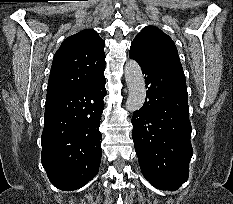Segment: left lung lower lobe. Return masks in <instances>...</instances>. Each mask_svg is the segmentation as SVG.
I'll use <instances>...</instances> for the list:
<instances>
[{
	"instance_id": "0a47b994",
	"label": "left lung lower lobe",
	"mask_w": 233,
	"mask_h": 204,
	"mask_svg": "<svg viewBox=\"0 0 233 204\" xmlns=\"http://www.w3.org/2000/svg\"><path fill=\"white\" fill-rule=\"evenodd\" d=\"M145 75L146 100L132 117V137L144 177L156 188L187 181L193 150L185 75L129 52Z\"/></svg>"
}]
</instances>
